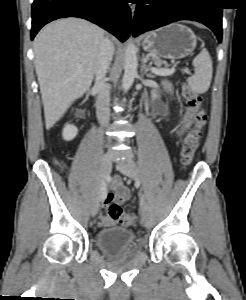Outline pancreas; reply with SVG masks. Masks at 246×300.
Masks as SVG:
<instances>
[{"mask_svg": "<svg viewBox=\"0 0 246 300\" xmlns=\"http://www.w3.org/2000/svg\"><path fill=\"white\" fill-rule=\"evenodd\" d=\"M152 58L155 60V64L159 67L162 62L157 57H155L153 55H152Z\"/></svg>", "mask_w": 246, "mask_h": 300, "instance_id": "obj_1", "label": "pancreas"}]
</instances>
